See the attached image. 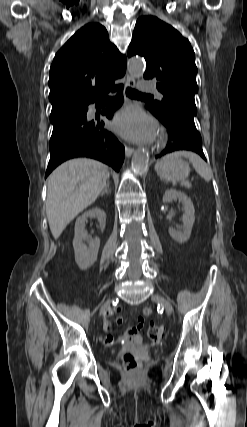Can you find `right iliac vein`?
Returning a JSON list of instances; mask_svg holds the SVG:
<instances>
[{
  "label": "right iliac vein",
  "instance_id": "1",
  "mask_svg": "<svg viewBox=\"0 0 247 427\" xmlns=\"http://www.w3.org/2000/svg\"><path fill=\"white\" fill-rule=\"evenodd\" d=\"M110 307V300H107L100 310V315H102Z\"/></svg>",
  "mask_w": 247,
  "mask_h": 427
}]
</instances>
